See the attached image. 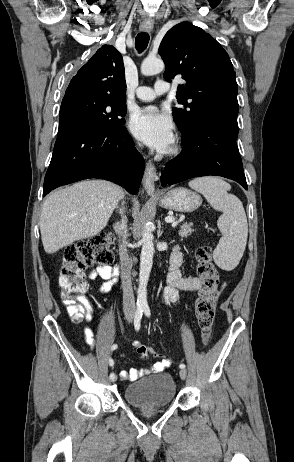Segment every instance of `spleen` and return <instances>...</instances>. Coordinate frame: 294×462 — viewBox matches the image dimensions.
<instances>
[{
  "mask_svg": "<svg viewBox=\"0 0 294 462\" xmlns=\"http://www.w3.org/2000/svg\"><path fill=\"white\" fill-rule=\"evenodd\" d=\"M188 185L201 193L215 210L223 213L217 221L223 236L213 252V259L224 270L234 269L243 256L248 236L242 202L228 193L231 186L219 177H199Z\"/></svg>",
  "mask_w": 294,
  "mask_h": 462,
  "instance_id": "1",
  "label": "spleen"
}]
</instances>
